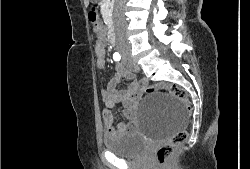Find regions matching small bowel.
<instances>
[{
	"instance_id": "obj_1",
	"label": "small bowel",
	"mask_w": 250,
	"mask_h": 169,
	"mask_svg": "<svg viewBox=\"0 0 250 169\" xmlns=\"http://www.w3.org/2000/svg\"><path fill=\"white\" fill-rule=\"evenodd\" d=\"M97 39L95 42V55L97 57L96 65L99 68H104L106 65V51H105V31L101 27L96 31ZM117 73L111 80L102 95L105 101V109L103 111V119L106 129V134L111 135L115 132L119 133H135L138 129L137 116L139 113L140 101L142 98V88L148 85L146 79H134L125 89H117L116 86L121 79L132 78V73L124 68L122 65L117 64ZM121 105L124 108V115L127 120L126 123L114 125L113 109Z\"/></svg>"
}]
</instances>
